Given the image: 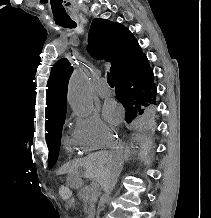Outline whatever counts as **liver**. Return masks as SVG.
<instances>
[{
    "label": "liver",
    "mask_w": 211,
    "mask_h": 218,
    "mask_svg": "<svg viewBox=\"0 0 211 218\" xmlns=\"http://www.w3.org/2000/svg\"><path fill=\"white\" fill-rule=\"evenodd\" d=\"M151 142H146L143 140L140 150V160L141 162H146L149 164V146ZM130 154L128 146L120 148L117 152H97V154H90L87 158H81L80 164L85 170L86 178H95L99 184L106 182L108 180L113 168L114 162H123L127 160Z\"/></svg>",
    "instance_id": "liver-1"
}]
</instances>
